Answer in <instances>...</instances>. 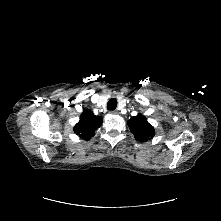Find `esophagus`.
Masks as SVG:
<instances>
[{
	"label": "esophagus",
	"mask_w": 221,
	"mask_h": 221,
	"mask_svg": "<svg viewBox=\"0 0 221 221\" xmlns=\"http://www.w3.org/2000/svg\"><path fill=\"white\" fill-rule=\"evenodd\" d=\"M110 113L115 115V114H117V110L110 111Z\"/></svg>",
	"instance_id": "obj_1"
}]
</instances>
